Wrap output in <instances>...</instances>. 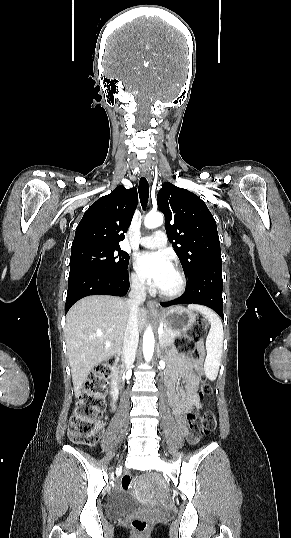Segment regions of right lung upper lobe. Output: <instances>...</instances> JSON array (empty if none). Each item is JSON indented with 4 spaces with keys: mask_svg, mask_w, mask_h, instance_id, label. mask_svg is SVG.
Masks as SVG:
<instances>
[{
    "mask_svg": "<svg viewBox=\"0 0 291 538\" xmlns=\"http://www.w3.org/2000/svg\"><path fill=\"white\" fill-rule=\"evenodd\" d=\"M137 206V190L120 185L99 198L78 224L72 249L91 245L119 246L130 226Z\"/></svg>",
    "mask_w": 291,
    "mask_h": 538,
    "instance_id": "1",
    "label": "right lung upper lobe"
}]
</instances>
